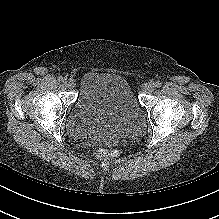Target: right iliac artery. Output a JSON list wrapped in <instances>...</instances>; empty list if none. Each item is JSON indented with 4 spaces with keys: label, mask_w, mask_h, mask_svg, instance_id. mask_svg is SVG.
Segmentation results:
<instances>
[{
    "label": "right iliac artery",
    "mask_w": 219,
    "mask_h": 219,
    "mask_svg": "<svg viewBox=\"0 0 219 219\" xmlns=\"http://www.w3.org/2000/svg\"><path fill=\"white\" fill-rule=\"evenodd\" d=\"M64 80H65V79H64L62 76H59V77H58V81H59V82H64Z\"/></svg>",
    "instance_id": "82829eb1"
}]
</instances>
